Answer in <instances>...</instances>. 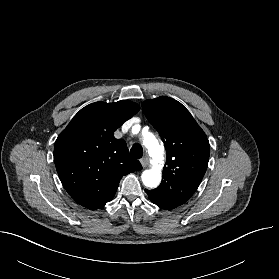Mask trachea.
Listing matches in <instances>:
<instances>
[{
  "label": "trachea",
  "instance_id": "trachea-1",
  "mask_svg": "<svg viewBox=\"0 0 279 279\" xmlns=\"http://www.w3.org/2000/svg\"><path fill=\"white\" fill-rule=\"evenodd\" d=\"M130 154L134 158H141L143 156V148H142V146L139 145V144L133 145L131 150H130Z\"/></svg>",
  "mask_w": 279,
  "mask_h": 279
}]
</instances>
